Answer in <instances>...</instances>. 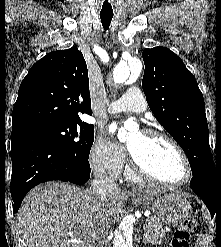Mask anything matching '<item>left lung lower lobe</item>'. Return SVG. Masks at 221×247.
<instances>
[{
    "instance_id": "0a47b994",
    "label": "left lung lower lobe",
    "mask_w": 221,
    "mask_h": 247,
    "mask_svg": "<svg viewBox=\"0 0 221 247\" xmlns=\"http://www.w3.org/2000/svg\"><path fill=\"white\" fill-rule=\"evenodd\" d=\"M192 190L203 200L211 216L221 208V167L214 162L193 174L190 182Z\"/></svg>"
}]
</instances>
